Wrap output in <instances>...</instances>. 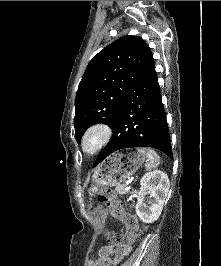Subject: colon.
Returning <instances> with one entry per match:
<instances>
[{
  "mask_svg": "<svg viewBox=\"0 0 221 266\" xmlns=\"http://www.w3.org/2000/svg\"><path fill=\"white\" fill-rule=\"evenodd\" d=\"M98 200L109 209L110 214L119 219L126 228V234L110 232L106 235L111 245H118L129 238L137 239L142 234V229L135 215L123 211L121 203L117 200L115 192L110 188H102L98 194ZM106 261L100 259L97 266H105Z\"/></svg>",
  "mask_w": 221,
  "mask_h": 266,
  "instance_id": "5ec220e1",
  "label": "colon"
}]
</instances>
